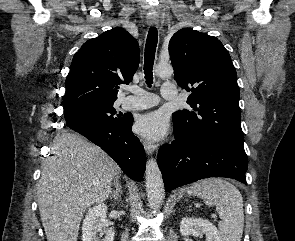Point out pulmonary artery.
<instances>
[{"label": "pulmonary artery", "instance_id": "e3ab8cb5", "mask_svg": "<svg viewBox=\"0 0 295 241\" xmlns=\"http://www.w3.org/2000/svg\"><path fill=\"white\" fill-rule=\"evenodd\" d=\"M131 91L134 95L126 97L123 101V106L126 109H146L156 105L160 100L156 94L147 92L142 89H133ZM160 94L163 99L175 100L177 96V89L175 84L164 83L161 86Z\"/></svg>", "mask_w": 295, "mask_h": 241}]
</instances>
